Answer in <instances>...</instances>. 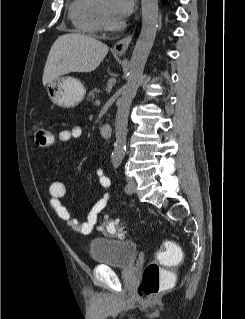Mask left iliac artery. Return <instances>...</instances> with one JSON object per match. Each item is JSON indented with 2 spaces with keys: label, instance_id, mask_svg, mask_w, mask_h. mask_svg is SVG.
Instances as JSON below:
<instances>
[{
  "label": "left iliac artery",
  "instance_id": "obj_1",
  "mask_svg": "<svg viewBox=\"0 0 245 319\" xmlns=\"http://www.w3.org/2000/svg\"><path fill=\"white\" fill-rule=\"evenodd\" d=\"M120 164H121V159L116 158L113 160L114 168H118ZM124 189H125V191L129 190V186L126 185Z\"/></svg>",
  "mask_w": 245,
  "mask_h": 319
}]
</instances>
